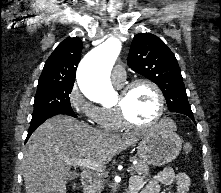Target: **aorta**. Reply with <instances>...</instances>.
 Instances as JSON below:
<instances>
[{
	"instance_id": "1",
	"label": "aorta",
	"mask_w": 221,
	"mask_h": 193,
	"mask_svg": "<svg viewBox=\"0 0 221 193\" xmlns=\"http://www.w3.org/2000/svg\"><path fill=\"white\" fill-rule=\"evenodd\" d=\"M121 49L117 39H109L91 50L77 70V82L84 95L98 103H104L115 95L109 71Z\"/></svg>"
}]
</instances>
